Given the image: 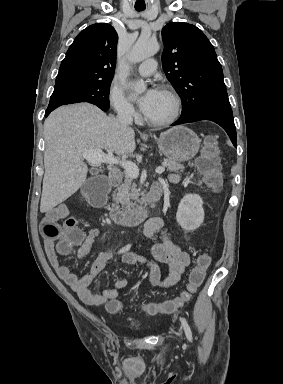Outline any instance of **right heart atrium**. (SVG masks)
Masks as SVG:
<instances>
[{
  "label": "right heart atrium",
  "mask_w": 283,
  "mask_h": 384,
  "mask_svg": "<svg viewBox=\"0 0 283 384\" xmlns=\"http://www.w3.org/2000/svg\"><path fill=\"white\" fill-rule=\"evenodd\" d=\"M108 98L113 110L124 119H131L135 116V107L127 99L123 89L112 82L108 89Z\"/></svg>",
  "instance_id": "1"
}]
</instances>
